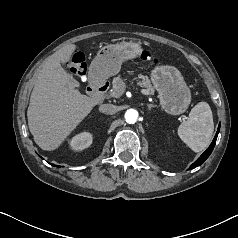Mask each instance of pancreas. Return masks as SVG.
Returning a JSON list of instances; mask_svg holds the SVG:
<instances>
[{
    "instance_id": "pancreas-1",
    "label": "pancreas",
    "mask_w": 238,
    "mask_h": 238,
    "mask_svg": "<svg viewBox=\"0 0 238 238\" xmlns=\"http://www.w3.org/2000/svg\"><path fill=\"white\" fill-rule=\"evenodd\" d=\"M112 84H113V88L110 91V96L119 98L125 89L124 80L120 76H118L113 79ZM138 85L143 88H146V90L149 91V93L151 95L154 93V89H153L151 82L147 76L139 74L138 75Z\"/></svg>"
}]
</instances>
